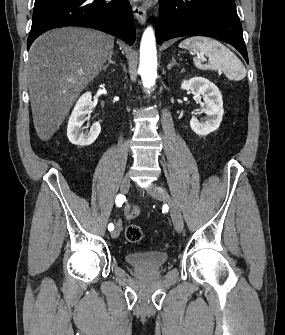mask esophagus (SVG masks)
Wrapping results in <instances>:
<instances>
[{
  "instance_id": "1",
  "label": "esophagus",
  "mask_w": 285,
  "mask_h": 335,
  "mask_svg": "<svg viewBox=\"0 0 285 335\" xmlns=\"http://www.w3.org/2000/svg\"><path fill=\"white\" fill-rule=\"evenodd\" d=\"M133 13L140 24H144L146 21V10L139 5H132Z\"/></svg>"
}]
</instances>
